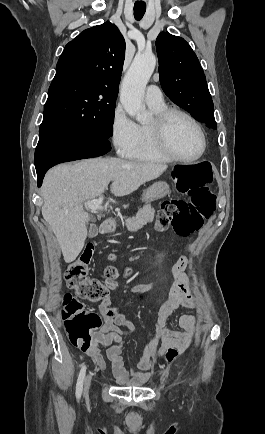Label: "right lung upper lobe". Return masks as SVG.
<instances>
[{"mask_svg": "<svg viewBox=\"0 0 265 434\" xmlns=\"http://www.w3.org/2000/svg\"><path fill=\"white\" fill-rule=\"evenodd\" d=\"M125 47L123 36L110 22L86 29L65 46L53 80L86 78L118 89Z\"/></svg>", "mask_w": 265, "mask_h": 434, "instance_id": "cb5924a9", "label": "right lung upper lobe"}]
</instances>
